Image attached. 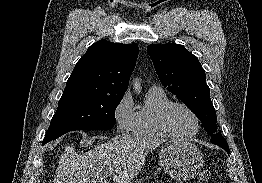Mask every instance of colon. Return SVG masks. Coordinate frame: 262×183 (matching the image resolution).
<instances>
[{
  "mask_svg": "<svg viewBox=\"0 0 262 183\" xmlns=\"http://www.w3.org/2000/svg\"><path fill=\"white\" fill-rule=\"evenodd\" d=\"M199 181L208 182L211 179V172L209 170H203L199 173L198 176Z\"/></svg>",
  "mask_w": 262,
  "mask_h": 183,
  "instance_id": "colon-1",
  "label": "colon"
}]
</instances>
